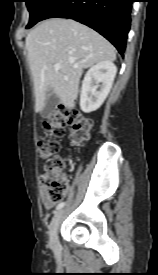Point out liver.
Instances as JSON below:
<instances>
[{
  "label": "liver",
  "instance_id": "1",
  "mask_svg": "<svg viewBox=\"0 0 158 275\" xmlns=\"http://www.w3.org/2000/svg\"><path fill=\"white\" fill-rule=\"evenodd\" d=\"M28 61L35 90V111L56 94L67 108L75 107L83 69L114 61L115 48L104 37L72 19L41 22L26 37ZM61 64L55 70V64Z\"/></svg>",
  "mask_w": 158,
  "mask_h": 275
}]
</instances>
